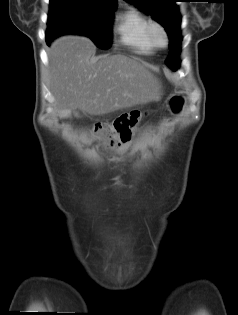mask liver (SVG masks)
Here are the masks:
<instances>
[{
  "label": "liver",
  "mask_w": 238,
  "mask_h": 315,
  "mask_svg": "<svg viewBox=\"0 0 238 315\" xmlns=\"http://www.w3.org/2000/svg\"><path fill=\"white\" fill-rule=\"evenodd\" d=\"M95 51L86 37L53 42L50 88L61 117L75 109L103 115L159 98L160 83L142 61L122 54L95 56Z\"/></svg>",
  "instance_id": "obj_1"
}]
</instances>
